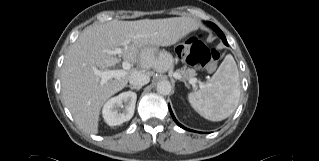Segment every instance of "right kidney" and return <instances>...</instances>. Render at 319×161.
Returning a JSON list of instances; mask_svg holds the SVG:
<instances>
[{"instance_id": "1", "label": "right kidney", "mask_w": 319, "mask_h": 161, "mask_svg": "<svg viewBox=\"0 0 319 161\" xmlns=\"http://www.w3.org/2000/svg\"><path fill=\"white\" fill-rule=\"evenodd\" d=\"M136 99V93L131 91L123 92L109 99L102 110L105 122L110 126H116L129 121L134 114ZM122 108L124 109L121 112Z\"/></svg>"}]
</instances>
